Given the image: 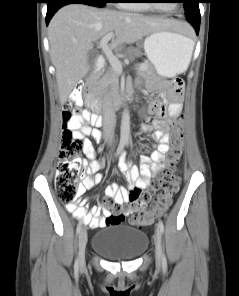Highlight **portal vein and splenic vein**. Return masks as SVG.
Returning <instances> with one entry per match:
<instances>
[{
    "mask_svg": "<svg viewBox=\"0 0 239 296\" xmlns=\"http://www.w3.org/2000/svg\"><path fill=\"white\" fill-rule=\"evenodd\" d=\"M114 36L113 32L107 33L99 42V47L103 50L104 54L106 55L109 63L111 64L112 68L117 74H121L123 69L120 60L113 54L112 50L108 46V42ZM146 66L141 65L139 70L144 71L146 70Z\"/></svg>",
    "mask_w": 239,
    "mask_h": 296,
    "instance_id": "obj_1",
    "label": "portal vein and splenic vein"
}]
</instances>
